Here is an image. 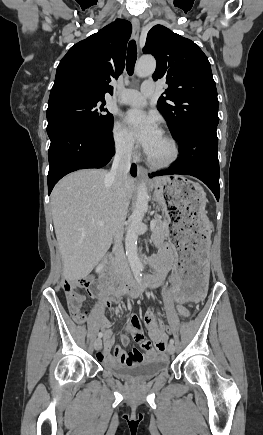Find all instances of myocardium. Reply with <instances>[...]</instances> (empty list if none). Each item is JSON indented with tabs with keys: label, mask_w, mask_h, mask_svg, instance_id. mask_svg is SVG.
<instances>
[{
	"label": "myocardium",
	"mask_w": 263,
	"mask_h": 435,
	"mask_svg": "<svg viewBox=\"0 0 263 435\" xmlns=\"http://www.w3.org/2000/svg\"><path fill=\"white\" fill-rule=\"evenodd\" d=\"M163 137L170 143L172 154L164 161H156L150 156V154L147 153V162L149 166L154 169H164L170 167L179 159L180 156V148L176 139L170 134H164Z\"/></svg>",
	"instance_id": "1"
}]
</instances>
